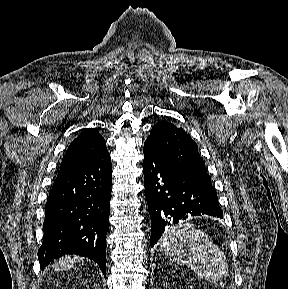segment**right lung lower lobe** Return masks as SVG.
Here are the masks:
<instances>
[{
	"label": "right lung lower lobe",
	"mask_w": 288,
	"mask_h": 289,
	"mask_svg": "<svg viewBox=\"0 0 288 289\" xmlns=\"http://www.w3.org/2000/svg\"><path fill=\"white\" fill-rule=\"evenodd\" d=\"M111 182L109 153L60 168L45 205L38 251L42 269L62 255L76 254L95 261L105 275Z\"/></svg>",
	"instance_id": "obj_1"
}]
</instances>
